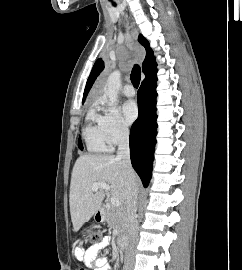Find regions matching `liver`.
<instances>
[{
	"label": "liver",
	"instance_id": "liver-1",
	"mask_svg": "<svg viewBox=\"0 0 242 270\" xmlns=\"http://www.w3.org/2000/svg\"><path fill=\"white\" fill-rule=\"evenodd\" d=\"M137 183V176L135 174ZM103 182L110 195L126 201V180L122 161L114 155H81L73 167L70 184V214L74 231L89 221L102 207L106 190L92 191V185Z\"/></svg>",
	"mask_w": 242,
	"mask_h": 270
}]
</instances>
